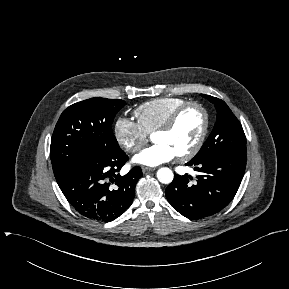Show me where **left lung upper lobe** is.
Here are the masks:
<instances>
[{"label": "left lung upper lobe", "mask_w": 289, "mask_h": 289, "mask_svg": "<svg viewBox=\"0 0 289 289\" xmlns=\"http://www.w3.org/2000/svg\"><path fill=\"white\" fill-rule=\"evenodd\" d=\"M217 111L214 128L200 151L191 160L199 162L223 153H246V137L239 120L227 104L216 97L201 94Z\"/></svg>", "instance_id": "left-lung-upper-lobe-1"}]
</instances>
